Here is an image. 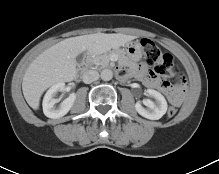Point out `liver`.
<instances>
[{
    "label": "liver",
    "mask_w": 219,
    "mask_h": 174,
    "mask_svg": "<svg viewBox=\"0 0 219 174\" xmlns=\"http://www.w3.org/2000/svg\"><path fill=\"white\" fill-rule=\"evenodd\" d=\"M135 38L121 33H95L67 38L51 46L32 61L24 74L22 90L27 103L37 110L46 89L74 80L77 74L76 58L81 53L99 55L118 49Z\"/></svg>",
    "instance_id": "1"
}]
</instances>
